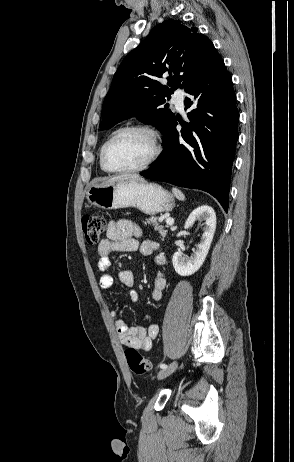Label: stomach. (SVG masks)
<instances>
[{
  "label": "stomach",
  "mask_w": 294,
  "mask_h": 462,
  "mask_svg": "<svg viewBox=\"0 0 294 462\" xmlns=\"http://www.w3.org/2000/svg\"><path fill=\"white\" fill-rule=\"evenodd\" d=\"M87 200L103 209L135 207L145 214L169 212L174 207L173 196L155 183L124 179L90 187Z\"/></svg>",
  "instance_id": "obj_1"
}]
</instances>
